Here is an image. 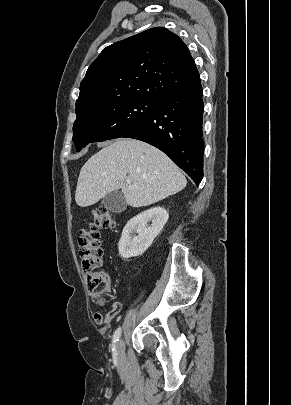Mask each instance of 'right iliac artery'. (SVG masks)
Returning <instances> with one entry per match:
<instances>
[{
	"instance_id": "82829eb1",
	"label": "right iliac artery",
	"mask_w": 291,
	"mask_h": 405,
	"mask_svg": "<svg viewBox=\"0 0 291 405\" xmlns=\"http://www.w3.org/2000/svg\"><path fill=\"white\" fill-rule=\"evenodd\" d=\"M121 335V327L117 328L113 334V340H112V352L113 356L116 357L117 351H116V343L119 341Z\"/></svg>"
}]
</instances>
